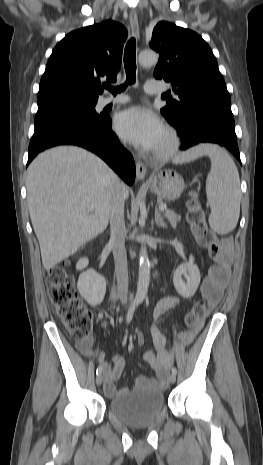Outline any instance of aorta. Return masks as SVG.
Masks as SVG:
<instances>
[{"mask_svg":"<svg viewBox=\"0 0 263 465\" xmlns=\"http://www.w3.org/2000/svg\"><path fill=\"white\" fill-rule=\"evenodd\" d=\"M158 58L157 53L146 50L140 52L138 60L142 66H153L157 64ZM139 259V276L135 301L143 302L147 295L150 283V263L146 247L143 245L141 247Z\"/></svg>","mask_w":263,"mask_h":465,"instance_id":"1","label":"aorta"}]
</instances>
